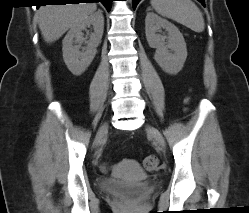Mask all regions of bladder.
<instances>
[{"label": "bladder", "instance_id": "31cf9c89", "mask_svg": "<svg viewBox=\"0 0 249 213\" xmlns=\"http://www.w3.org/2000/svg\"><path fill=\"white\" fill-rule=\"evenodd\" d=\"M100 185L106 192L126 196H140L152 189V185L149 182H129L113 178L103 179Z\"/></svg>", "mask_w": 249, "mask_h": 213}]
</instances>
